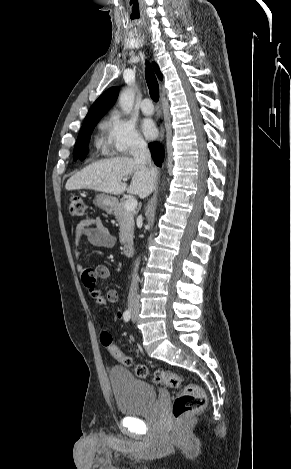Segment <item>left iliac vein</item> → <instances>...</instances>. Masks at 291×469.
<instances>
[{
    "label": "left iliac vein",
    "mask_w": 291,
    "mask_h": 469,
    "mask_svg": "<svg viewBox=\"0 0 291 469\" xmlns=\"http://www.w3.org/2000/svg\"><path fill=\"white\" fill-rule=\"evenodd\" d=\"M137 313H138V311H137V310L133 311V313H132V321H133V322H135V321H136V318H137Z\"/></svg>",
    "instance_id": "left-iliac-vein-1"
}]
</instances>
